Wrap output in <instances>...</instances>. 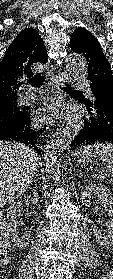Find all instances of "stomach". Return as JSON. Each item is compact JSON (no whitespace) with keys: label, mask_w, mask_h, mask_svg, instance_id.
I'll use <instances>...</instances> for the list:
<instances>
[{"label":"stomach","mask_w":113,"mask_h":279,"mask_svg":"<svg viewBox=\"0 0 113 279\" xmlns=\"http://www.w3.org/2000/svg\"><path fill=\"white\" fill-rule=\"evenodd\" d=\"M95 157V153L94 152H84L82 150H80L77 154H76V159L79 163L82 164H88L90 162H92V159Z\"/></svg>","instance_id":"stomach-1"}]
</instances>
